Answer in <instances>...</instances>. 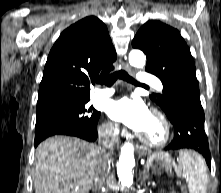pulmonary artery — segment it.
<instances>
[{"mask_svg": "<svg viewBox=\"0 0 221 193\" xmlns=\"http://www.w3.org/2000/svg\"><path fill=\"white\" fill-rule=\"evenodd\" d=\"M138 81L142 84L151 86L160 91L163 89V84L159 78L144 71L138 74ZM114 91L115 90L113 88L98 89L94 93L93 98L95 100L106 99L107 97L111 96L114 93Z\"/></svg>", "mask_w": 221, "mask_h": 193, "instance_id": "obj_1", "label": "pulmonary artery"}]
</instances>
